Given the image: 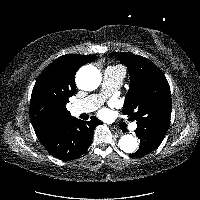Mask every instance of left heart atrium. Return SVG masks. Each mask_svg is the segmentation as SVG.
I'll return each mask as SVG.
<instances>
[{
	"label": "left heart atrium",
	"instance_id": "1",
	"mask_svg": "<svg viewBox=\"0 0 200 200\" xmlns=\"http://www.w3.org/2000/svg\"><path fill=\"white\" fill-rule=\"evenodd\" d=\"M99 114H100L101 117H104V116L107 115V110L106 109H102Z\"/></svg>",
	"mask_w": 200,
	"mask_h": 200
}]
</instances>
